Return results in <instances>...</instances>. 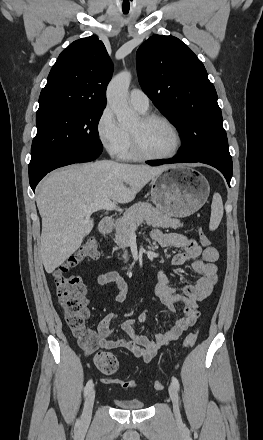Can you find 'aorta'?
<instances>
[{
	"instance_id": "1",
	"label": "aorta",
	"mask_w": 263,
	"mask_h": 440,
	"mask_svg": "<svg viewBox=\"0 0 263 440\" xmlns=\"http://www.w3.org/2000/svg\"><path fill=\"white\" fill-rule=\"evenodd\" d=\"M131 73L122 71L109 83L107 88V102L121 124H130L136 121L138 115L128 105V89L131 82Z\"/></svg>"
}]
</instances>
